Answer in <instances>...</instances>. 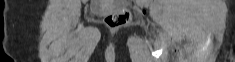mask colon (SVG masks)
<instances>
[{
  "instance_id": "obj_1",
  "label": "colon",
  "mask_w": 235,
  "mask_h": 62,
  "mask_svg": "<svg viewBox=\"0 0 235 62\" xmlns=\"http://www.w3.org/2000/svg\"><path fill=\"white\" fill-rule=\"evenodd\" d=\"M131 20V14L127 9L118 10L105 19L106 24L111 28H117L128 24Z\"/></svg>"
}]
</instances>
